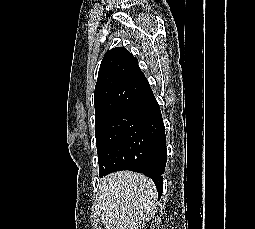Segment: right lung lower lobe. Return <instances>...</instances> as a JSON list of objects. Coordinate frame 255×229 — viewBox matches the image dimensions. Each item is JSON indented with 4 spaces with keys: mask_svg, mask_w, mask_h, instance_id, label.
I'll return each mask as SVG.
<instances>
[{
    "mask_svg": "<svg viewBox=\"0 0 255 229\" xmlns=\"http://www.w3.org/2000/svg\"><path fill=\"white\" fill-rule=\"evenodd\" d=\"M125 113L141 120L146 128L152 129L155 132V138L150 144L142 163L126 170L139 172L151 178L156 185L158 197H160L163 191L162 174L164 173L167 160L165 128L160 107L155 97H153L142 104L130 107Z\"/></svg>",
    "mask_w": 255,
    "mask_h": 229,
    "instance_id": "98d812e1",
    "label": "right lung lower lobe"
}]
</instances>
